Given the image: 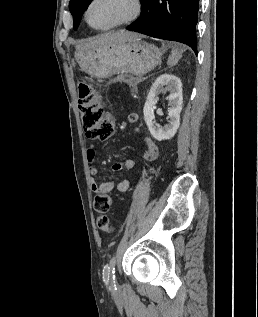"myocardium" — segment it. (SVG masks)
I'll list each match as a JSON object with an SVG mask.
<instances>
[{"label": "myocardium", "mask_w": 258, "mask_h": 317, "mask_svg": "<svg viewBox=\"0 0 258 317\" xmlns=\"http://www.w3.org/2000/svg\"><path fill=\"white\" fill-rule=\"evenodd\" d=\"M95 1L96 0H91L89 2L88 6H87V8L85 10V20H86V22L88 23V25L90 27H92L95 30H99V31H108V30L115 29L117 27L126 25V24L132 22L133 20H135L139 16L140 11H141V6H140V4H139V2L137 0H120V1H123V2H126V3H129L131 5L130 14L127 17H125L124 19H122V20H120L118 22H115L113 24L106 25V26H97V25H94L90 21V18H89L90 7L92 6V4Z\"/></svg>", "instance_id": "myocardium-1"}]
</instances>
